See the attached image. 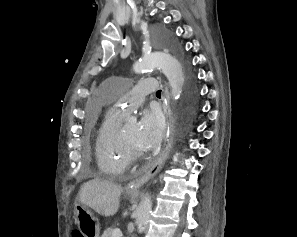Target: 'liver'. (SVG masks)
<instances>
[{"mask_svg":"<svg viewBox=\"0 0 297 237\" xmlns=\"http://www.w3.org/2000/svg\"><path fill=\"white\" fill-rule=\"evenodd\" d=\"M122 191L120 185L95 178L82 186L79 201L98 214L109 217L118 211Z\"/></svg>","mask_w":297,"mask_h":237,"instance_id":"liver-1","label":"liver"}]
</instances>
